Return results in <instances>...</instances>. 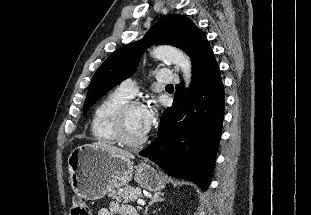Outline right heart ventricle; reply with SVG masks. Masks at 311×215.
<instances>
[{"mask_svg":"<svg viewBox=\"0 0 311 215\" xmlns=\"http://www.w3.org/2000/svg\"><path fill=\"white\" fill-rule=\"evenodd\" d=\"M130 100L118 89L108 94L94 109L91 132L95 140L104 144L119 143L113 126V117L119 106Z\"/></svg>","mask_w":311,"mask_h":215,"instance_id":"e07e8e85","label":"right heart ventricle"}]
</instances>
